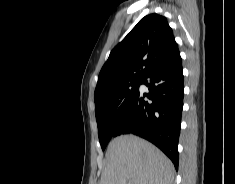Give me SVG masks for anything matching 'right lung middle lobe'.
<instances>
[{"instance_id":"1","label":"right lung middle lobe","mask_w":235,"mask_h":184,"mask_svg":"<svg viewBox=\"0 0 235 184\" xmlns=\"http://www.w3.org/2000/svg\"><path fill=\"white\" fill-rule=\"evenodd\" d=\"M143 80H137L129 84L113 87L108 91L110 103L96 107V121L98 136L102 150H105L108 142L115 136V132L127 112L135 96L139 93V86Z\"/></svg>"}]
</instances>
